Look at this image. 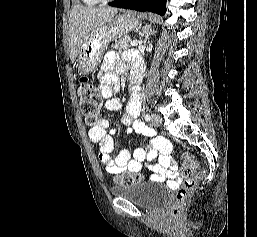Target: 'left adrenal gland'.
<instances>
[{"mask_svg": "<svg viewBox=\"0 0 257 237\" xmlns=\"http://www.w3.org/2000/svg\"><path fill=\"white\" fill-rule=\"evenodd\" d=\"M155 31L154 30H152V29H144L143 30V32L141 33V35L144 37V43H146L147 42V40H148V38H149V36L152 34V33H154Z\"/></svg>", "mask_w": 257, "mask_h": 237, "instance_id": "obj_1", "label": "left adrenal gland"}]
</instances>
